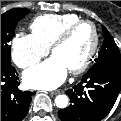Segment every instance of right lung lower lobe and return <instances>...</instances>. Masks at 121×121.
Instances as JSON below:
<instances>
[{
	"mask_svg": "<svg viewBox=\"0 0 121 121\" xmlns=\"http://www.w3.org/2000/svg\"><path fill=\"white\" fill-rule=\"evenodd\" d=\"M12 65H1V121H22L35 92L18 89V77Z\"/></svg>",
	"mask_w": 121,
	"mask_h": 121,
	"instance_id": "98d812e1",
	"label": "right lung lower lobe"
}]
</instances>
